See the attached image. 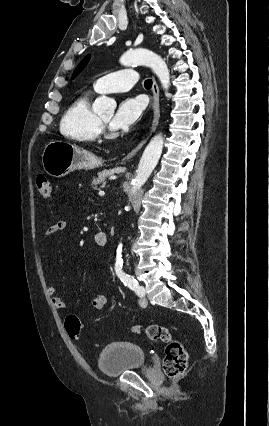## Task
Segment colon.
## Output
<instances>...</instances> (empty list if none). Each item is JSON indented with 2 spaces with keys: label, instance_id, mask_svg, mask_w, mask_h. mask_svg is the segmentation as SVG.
I'll return each mask as SVG.
<instances>
[{
  "label": "colon",
  "instance_id": "colon-1",
  "mask_svg": "<svg viewBox=\"0 0 269 426\" xmlns=\"http://www.w3.org/2000/svg\"><path fill=\"white\" fill-rule=\"evenodd\" d=\"M36 184L41 197L50 199L53 195V187L49 178L40 173L36 177ZM65 327L70 337L76 338L80 334V321L76 315H68ZM133 331L144 334L149 340L165 344V358L163 370L171 380L178 379L187 369L188 353L183 343L175 338L169 329L163 325L152 324L146 327L135 326Z\"/></svg>",
  "mask_w": 269,
  "mask_h": 426
}]
</instances>
